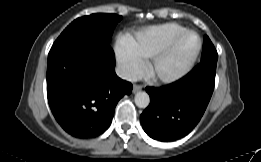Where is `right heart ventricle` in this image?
Segmentation results:
<instances>
[{"label":"right heart ventricle","instance_id":"obj_1","mask_svg":"<svg viewBox=\"0 0 261 162\" xmlns=\"http://www.w3.org/2000/svg\"><path fill=\"white\" fill-rule=\"evenodd\" d=\"M184 30L186 28L177 23L145 27L129 37V44L132 50L142 59H148Z\"/></svg>","mask_w":261,"mask_h":162}]
</instances>
